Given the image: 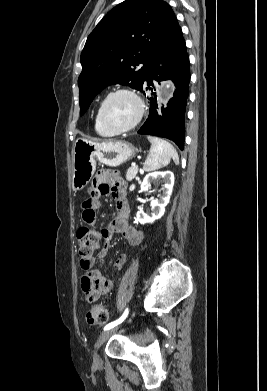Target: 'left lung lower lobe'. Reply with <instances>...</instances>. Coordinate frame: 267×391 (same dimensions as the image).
I'll return each instance as SVG.
<instances>
[{"label":"left lung lower lobe","mask_w":267,"mask_h":391,"mask_svg":"<svg viewBox=\"0 0 267 391\" xmlns=\"http://www.w3.org/2000/svg\"><path fill=\"white\" fill-rule=\"evenodd\" d=\"M152 79L157 82L172 79L176 90L170 99L167 108H162V115L156 110L157 102L150 100L148 119L139 129V134H149L164 137L174 141L178 147L184 149L185 108L189 94V56L181 28L178 27L165 43L152 55L145 82L140 91H153Z\"/></svg>","instance_id":"1"}]
</instances>
